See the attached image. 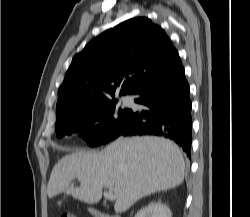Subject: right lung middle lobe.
Listing matches in <instances>:
<instances>
[{
	"instance_id": "1",
	"label": "right lung middle lobe",
	"mask_w": 250,
	"mask_h": 217,
	"mask_svg": "<svg viewBox=\"0 0 250 217\" xmlns=\"http://www.w3.org/2000/svg\"><path fill=\"white\" fill-rule=\"evenodd\" d=\"M116 103L117 100H109L56 122L57 137L76 133L92 147L114 140L132 115V110L119 108Z\"/></svg>"
}]
</instances>
